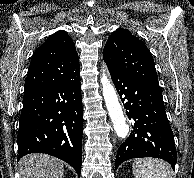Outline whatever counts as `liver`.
<instances>
[{"instance_id": "obj_1", "label": "liver", "mask_w": 194, "mask_h": 178, "mask_svg": "<svg viewBox=\"0 0 194 178\" xmlns=\"http://www.w3.org/2000/svg\"><path fill=\"white\" fill-rule=\"evenodd\" d=\"M64 163L46 154H29L19 162L20 178H62Z\"/></svg>"}]
</instances>
